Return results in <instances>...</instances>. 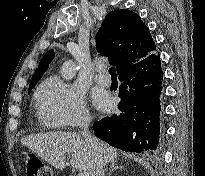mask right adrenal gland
Listing matches in <instances>:
<instances>
[{
    "instance_id": "obj_1",
    "label": "right adrenal gland",
    "mask_w": 205,
    "mask_h": 176,
    "mask_svg": "<svg viewBox=\"0 0 205 176\" xmlns=\"http://www.w3.org/2000/svg\"><path fill=\"white\" fill-rule=\"evenodd\" d=\"M117 169H123V167L122 166H118V164L116 162H111V164H110V171L107 174V176H111L113 171H115Z\"/></svg>"
}]
</instances>
